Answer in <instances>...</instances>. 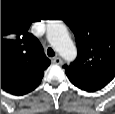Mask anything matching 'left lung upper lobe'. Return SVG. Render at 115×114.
<instances>
[{
  "label": "left lung upper lobe",
  "instance_id": "left-lung-upper-lobe-1",
  "mask_svg": "<svg viewBox=\"0 0 115 114\" xmlns=\"http://www.w3.org/2000/svg\"><path fill=\"white\" fill-rule=\"evenodd\" d=\"M76 39L78 56L64 65L69 80L78 88L93 92L115 76V18L98 12L64 18Z\"/></svg>",
  "mask_w": 115,
  "mask_h": 114
}]
</instances>
